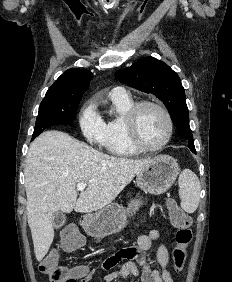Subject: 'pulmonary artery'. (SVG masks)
Wrapping results in <instances>:
<instances>
[{
  "instance_id": "1",
  "label": "pulmonary artery",
  "mask_w": 232,
  "mask_h": 282,
  "mask_svg": "<svg viewBox=\"0 0 232 282\" xmlns=\"http://www.w3.org/2000/svg\"><path fill=\"white\" fill-rule=\"evenodd\" d=\"M111 94L113 96H118V97H127L129 96V93L127 92V90L124 87L121 86H117L115 88L112 89Z\"/></svg>"
}]
</instances>
